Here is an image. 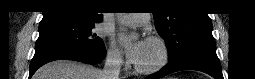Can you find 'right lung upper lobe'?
Wrapping results in <instances>:
<instances>
[{"label":"right lung upper lobe","instance_id":"1","mask_svg":"<svg viewBox=\"0 0 255 79\" xmlns=\"http://www.w3.org/2000/svg\"><path fill=\"white\" fill-rule=\"evenodd\" d=\"M96 0H50L43 11V19H75L88 22L102 21Z\"/></svg>","mask_w":255,"mask_h":79}]
</instances>
